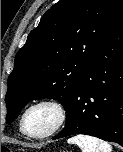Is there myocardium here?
<instances>
[{
	"instance_id": "myocardium-1",
	"label": "myocardium",
	"mask_w": 123,
	"mask_h": 152,
	"mask_svg": "<svg viewBox=\"0 0 123 152\" xmlns=\"http://www.w3.org/2000/svg\"><path fill=\"white\" fill-rule=\"evenodd\" d=\"M39 106L52 107L57 113V120H56V123L54 124V126L47 132L42 133V134H32L27 131L26 126H25V120H26L28 113L32 109L39 107ZM66 120H67V109L60 100L55 99V98H43V99L35 101L34 103L29 105L25 109V111L23 112V114L21 116L20 128H21V131L30 138L43 139V138L50 137V136L54 135L55 133H57L63 127Z\"/></svg>"
}]
</instances>
